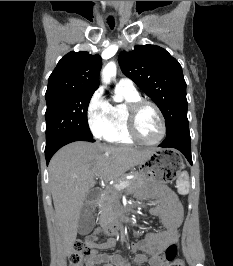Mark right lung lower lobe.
<instances>
[{"instance_id":"right-lung-lower-lobe-1","label":"right lung lower lobe","mask_w":233,"mask_h":266,"mask_svg":"<svg viewBox=\"0 0 233 266\" xmlns=\"http://www.w3.org/2000/svg\"><path fill=\"white\" fill-rule=\"evenodd\" d=\"M74 141H89V142H94L95 140L93 139L92 136L89 135H75L72 137H69L67 139L61 140L52 147L45 148V158L47 164L49 163L51 157L54 155V153L60 149L62 146L74 142Z\"/></svg>"}]
</instances>
